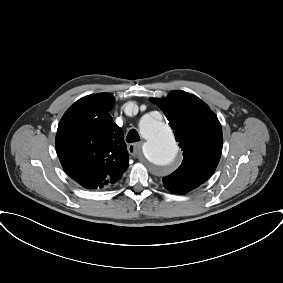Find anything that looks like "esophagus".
Wrapping results in <instances>:
<instances>
[{"mask_svg":"<svg viewBox=\"0 0 283 283\" xmlns=\"http://www.w3.org/2000/svg\"><path fill=\"white\" fill-rule=\"evenodd\" d=\"M142 142L131 143L128 145V152L132 156H139L141 154Z\"/></svg>","mask_w":283,"mask_h":283,"instance_id":"obj_1","label":"esophagus"}]
</instances>
